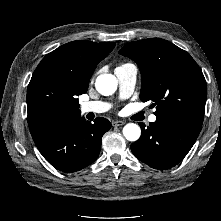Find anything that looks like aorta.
<instances>
[{
  "label": "aorta",
  "mask_w": 221,
  "mask_h": 221,
  "mask_svg": "<svg viewBox=\"0 0 221 221\" xmlns=\"http://www.w3.org/2000/svg\"><path fill=\"white\" fill-rule=\"evenodd\" d=\"M95 87L101 95H112L117 89V79L112 74L99 75ZM123 135L128 141H137L140 138L141 129L137 124L128 123L123 128Z\"/></svg>",
  "instance_id": "1"
}]
</instances>
